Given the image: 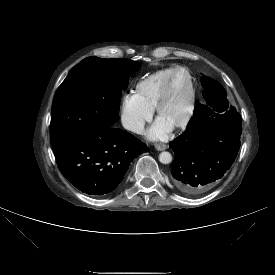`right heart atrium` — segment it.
<instances>
[{"mask_svg": "<svg viewBox=\"0 0 275 275\" xmlns=\"http://www.w3.org/2000/svg\"><path fill=\"white\" fill-rule=\"evenodd\" d=\"M120 121L123 127L133 133L141 134L151 120L153 110L139 102L134 94L122 97L119 107Z\"/></svg>", "mask_w": 275, "mask_h": 275, "instance_id": "obj_1", "label": "right heart atrium"}]
</instances>
